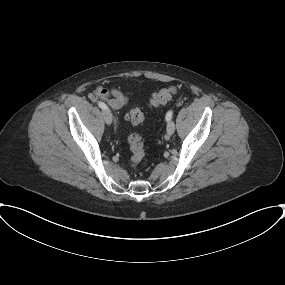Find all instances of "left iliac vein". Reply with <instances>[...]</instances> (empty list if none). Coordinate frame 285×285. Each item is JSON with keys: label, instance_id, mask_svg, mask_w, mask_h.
<instances>
[{"label": "left iliac vein", "instance_id": "obj_1", "mask_svg": "<svg viewBox=\"0 0 285 285\" xmlns=\"http://www.w3.org/2000/svg\"><path fill=\"white\" fill-rule=\"evenodd\" d=\"M174 131H175V123L172 120H170L167 123V133L169 135H172Z\"/></svg>", "mask_w": 285, "mask_h": 285}]
</instances>
